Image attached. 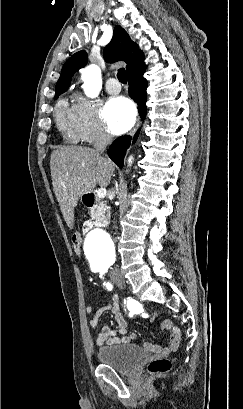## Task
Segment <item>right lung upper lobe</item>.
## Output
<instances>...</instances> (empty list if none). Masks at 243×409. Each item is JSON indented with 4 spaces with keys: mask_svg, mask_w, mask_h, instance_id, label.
Masks as SVG:
<instances>
[{
    "mask_svg": "<svg viewBox=\"0 0 243 409\" xmlns=\"http://www.w3.org/2000/svg\"><path fill=\"white\" fill-rule=\"evenodd\" d=\"M104 58L109 63L115 61L126 62L128 78L145 71L146 68V65L143 63V52L119 25L115 26L112 41L104 49ZM86 64L87 54L84 50L73 54L63 65L55 92L63 93L69 87L74 72Z\"/></svg>",
    "mask_w": 243,
    "mask_h": 409,
    "instance_id": "cb5924a9",
    "label": "right lung upper lobe"
}]
</instances>
